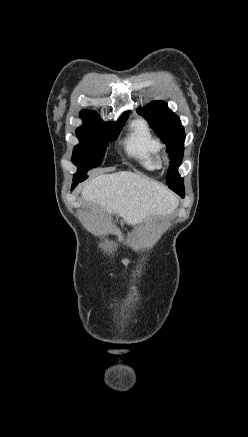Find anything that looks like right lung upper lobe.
<instances>
[{
    "mask_svg": "<svg viewBox=\"0 0 248 437\" xmlns=\"http://www.w3.org/2000/svg\"><path fill=\"white\" fill-rule=\"evenodd\" d=\"M80 115H81V118L84 120V123H88V124H92V125H98V124L105 123L99 118V116L95 112H91L88 110H82ZM127 115H128V113L125 112L119 120H121L122 118H124Z\"/></svg>",
    "mask_w": 248,
    "mask_h": 437,
    "instance_id": "obj_1",
    "label": "right lung upper lobe"
}]
</instances>
